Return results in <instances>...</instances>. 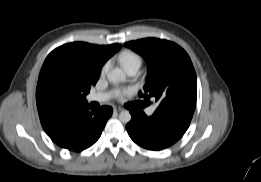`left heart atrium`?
Here are the masks:
<instances>
[{
  "label": "left heart atrium",
  "instance_id": "39dd6f15",
  "mask_svg": "<svg viewBox=\"0 0 261 182\" xmlns=\"http://www.w3.org/2000/svg\"><path fill=\"white\" fill-rule=\"evenodd\" d=\"M123 95H124V93H121V92L118 93V97H120V98L123 97Z\"/></svg>",
  "mask_w": 261,
  "mask_h": 182
}]
</instances>
